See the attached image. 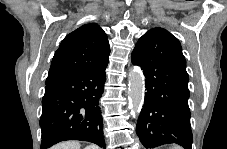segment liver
<instances>
[{"label": "liver", "mask_w": 227, "mask_h": 149, "mask_svg": "<svg viewBox=\"0 0 227 149\" xmlns=\"http://www.w3.org/2000/svg\"><path fill=\"white\" fill-rule=\"evenodd\" d=\"M81 145L77 141H66L59 143L52 147V149H80ZM95 149H99L97 146H94Z\"/></svg>", "instance_id": "6515ba94"}]
</instances>
